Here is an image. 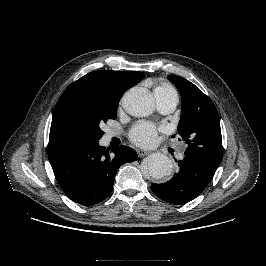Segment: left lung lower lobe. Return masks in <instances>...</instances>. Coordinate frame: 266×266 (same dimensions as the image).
I'll use <instances>...</instances> for the list:
<instances>
[{
  "label": "left lung lower lobe",
  "instance_id": "obj_1",
  "mask_svg": "<svg viewBox=\"0 0 266 266\" xmlns=\"http://www.w3.org/2000/svg\"><path fill=\"white\" fill-rule=\"evenodd\" d=\"M178 165L179 171L169 181L151 185L155 195L171 204H184L196 198L217 170L188 157L180 160Z\"/></svg>",
  "mask_w": 266,
  "mask_h": 266
}]
</instances>
